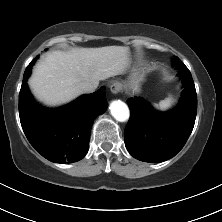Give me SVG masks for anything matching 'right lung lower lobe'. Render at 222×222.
Returning <instances> with one entry per match:
<instances>
[{
  "label": "right lung lower lobe",
  "instance_id": "98d812e1",
  "mask_svg": "<svg viewBox=\"0 0 222 222\" xmlns=\"http://www.w3.org/2000/svg\"><path fill=\"white\" fill-rule=\"evenodd\" d=\"M31 66L25 70L19 94L20 122L28 141L49 161L72 163L82 159L89 148L93 120L108 105L105 87L66 106L48 110L34 102L27 87Z\"/></svg>",
  "mask_w": 222,
  "mask_h": 222
}]
</instances>
